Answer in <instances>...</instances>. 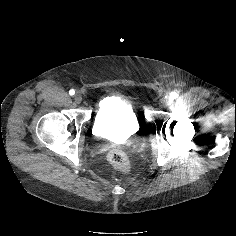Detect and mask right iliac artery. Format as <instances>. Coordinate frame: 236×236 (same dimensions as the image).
Listing matches in <instances>:
<instances>
[{
	"instance_id": "82829eb1",
	"label": "right iliac artery",
	"mask_w": 236,
	"mask_h": 236,
	"mask_svg": "<svg viewBox=\"0 0 236 236\" xmlns=\"http://www.w3.org/2000/svg\"><path fill=\"white\" fill-rule=\"evenodd\" d=\"M69 94L72 96V95H74L75 94V90L74 89H71L70 91H69Z\"/></svg>"
}]
</instances>
